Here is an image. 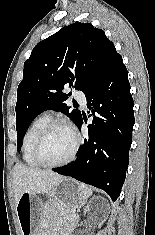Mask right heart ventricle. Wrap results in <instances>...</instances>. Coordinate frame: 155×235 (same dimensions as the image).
Returning a JSON list of instances; mask_svg holds the SVG:
<instances>
[{
    "instance_id": "right-heart-ventricle-1",
    "label": "right heart ventricle",
    "mask_w": 155,
    "mask_h": 235,
    "mask_svg": "<svg viewBox=\"0 0 155 235\" xmlns=\"http://www.w3.org/2000/svg\"><path fill=\"white\" fill-rule=\"evenodd\" d=\"M49 121L50 117L47 114L39 115L30 123L23 135L21 145L22 160L30 167L39 166L33 157V147L39 133Z\"/></svg>"
}]
</instances>
